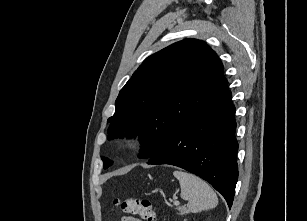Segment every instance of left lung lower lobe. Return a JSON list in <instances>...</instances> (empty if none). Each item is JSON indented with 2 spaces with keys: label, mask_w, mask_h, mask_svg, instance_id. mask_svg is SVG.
<instances>
[{
  "label": "left lung lower lobe",
  "mask_w": 307,
  "mask_h": 221,
  "mask_svg": "<svg viewBox=\"0 0 307 221\" xmlns=\"http://www.w3.org/2000/svg\"><path fill=\"white\" fill-rule=\"evenodd\" d=\"M235 107L228 88L184 124L148 164L181 167L209 182L232 206L238 179Z\"/></svg>",
  "instance_id": "obj_1"
}]
</instances>
